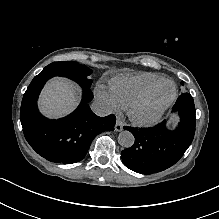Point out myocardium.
Here are the masks:
<instances>
[{
    "mask_svg": "<svg viewBox=\"0 0 219 219\" xmlns=\"http://www.w3.org/2000/svg\"><path fill=\"white\" fill-rule=\"evenodd\" d=\"M164 82L170 83L172 85L173 91L171 96L161 105H159L152 113L144 114L143 109L148 104L152 94L157 89V87ZM176 96L177 88L175 83L169 79H160L134 101V103L129 108V116L133 122L140 125L154 124L162 117L165 111L174 102Z\"/></svg>",
    "mask_w": 219,
    "mask_h": 219,
    "instance_id": "obj_1",
    "label": "myocardium"
}]
</instances>
